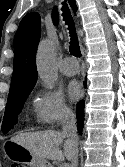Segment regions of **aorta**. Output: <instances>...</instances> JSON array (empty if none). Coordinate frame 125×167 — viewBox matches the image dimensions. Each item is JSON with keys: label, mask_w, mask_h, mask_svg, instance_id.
Instances as JSON below:
<instances>
[{"label": "aorta", "mask_w": 125, "mask_h": 167, "mask_svg": "<svg viewBox=\"0 0 125 167\" xmlns=\"http://www.w3.org/2000/svg\"><path fill=\"white\" fill-rule=\"evenodd\" d=\"M36 63L41 80L48 87H53L57 80L58 73L52 48L47 41H42L39 44Z\"/></svg>", "instance_id": "obj_1"}]
</instances>
